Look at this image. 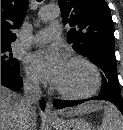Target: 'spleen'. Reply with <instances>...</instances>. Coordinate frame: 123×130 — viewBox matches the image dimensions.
Returning <instances> with one entry per match:
<instances>
[{"label": "spleen", "instance_id": "spleen-1", "mask_svg": "<svg viewBox=\"0 0 123 130\" xmlns=\"http://www.w3.org/2000/svg\"><path fill=\"white\" fill-rule=\"evenodd\" d=\"M99 130H123V122L112 106H104V117Z\"/></svg>", "mask_w": 123, "mask_h": 130}]
</instances>
